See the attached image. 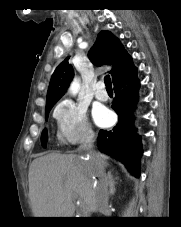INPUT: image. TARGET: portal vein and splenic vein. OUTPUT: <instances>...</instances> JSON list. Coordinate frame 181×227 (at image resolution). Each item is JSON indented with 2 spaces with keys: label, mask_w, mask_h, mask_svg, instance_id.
Instances as JSON below:
<instances>
[{
  "label": "portal vein and splenic vein",
  "mask_w": 181,
  "mask_h": 227,
  "mask_svg": "<svg viewBox=\"0 0 181 227\" xmlns=\"http://www.w3.org/2000/svg\"><path fill=\"white\" fill-rule=\"evenodd\" d=\"M81 207H82V209H84V210L86 209V206H85L84 204H82V203H81Z\"/></svg>",
  "instance_id": "1"
}]
</instances>
